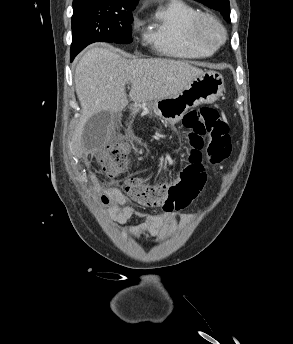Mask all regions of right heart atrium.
<instances>
[{
  "mask_svg": "<svg viewBox=\"0 0 293 344\" xmlns=\"http://www.w3.org/2000/svg\"><path fill=\"white\" fill-rule=\"evenodd\" d=\"M132 25H133V27H137L138 26V22L134 20Z\"/></svg>",
  "mask_w": 293,
  "mask_h": 344,
  "instance_id": "obj_1",
  "label": "right heart atrium"
}]
</instances>
